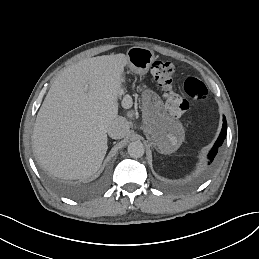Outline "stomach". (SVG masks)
<instances>
[{
  "mask_svg": "<svg viewBox=\"0 0 259 259\" xmlns=\"http://www.w3.org/2000/svg\"><path fill=\"white\" fill-rule=\"evenodd\" d=\"M129 67L138 74L146 73L154 61V52L146 47H131L127 51Z\"/></svg>",
  "mask_w": 259,
  "mask_h": 259,
  "instance_id": "0dacf381",
  "label": "stomach"
}]
</instances>
